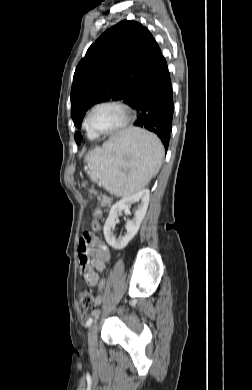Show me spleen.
I'll use <instances>...</instances> for the list:
<instances>
[{
	"label": "spleen",
	"instance_id": "1",
	"mask_svg": "<svg viewBox=\"0 0 252 390\" xmlns=\"http://www.w3.org/2000/svg\"><path fill=\"white\" fill-rule=\"evenodd\" d=\"M130 156L126 160L125 156ZM164 148L158 137L130 128L112 136L90 152L85 170L93 182L117 197H127L144 188L161 166Z\"/></svg>",
	"mask_w": 252,
	"mask_h": 390
}]
</instances>
